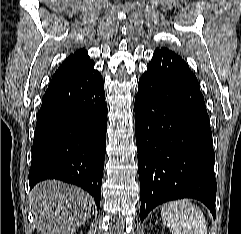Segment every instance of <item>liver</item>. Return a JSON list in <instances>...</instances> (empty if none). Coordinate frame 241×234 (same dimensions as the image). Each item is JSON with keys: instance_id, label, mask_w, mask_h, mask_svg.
Returning a JSON list of instances; mask_svg holds the SVG:
<instances>
[{"instance_id": "1", "label": "liver", "mask_w": 241, "mask_h": 234, "mask_svg": "<svg viewBox=\"0 0 241 234\" xmlns=\"http://www.w3.org/2000/svg\"><path fill=\"white\" fill-rule=\"evenodd\" d=\"M29 199L40 234H74L91 217L95 207L86 191L56 180L38 183Z\"/></svg>"}]
</instances>
